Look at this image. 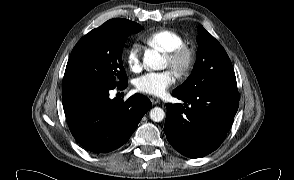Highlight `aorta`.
Masks as SVG:
<instances>
[{"instance_id":"obj_1","label":"aorta","mask_w":294,"mask_h":180,"mask_svg":"<svg viewBox=\"0 0 294 180\" xmlns=\"http://www.w3.org/2000/svg\"><path fill=\"white\" fill-rule=\"evenodd\" d=\"M143 62L145 66L151 70H163L166 68V60L156 50H147L144 54ZM165 112L160 107H154L150 110V118L155 122H160L164 119Z\"/></svg>"}]
</instances>
